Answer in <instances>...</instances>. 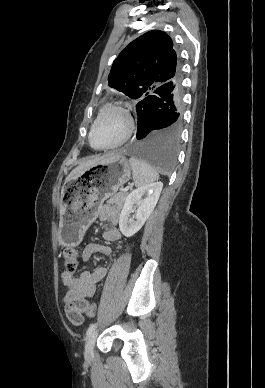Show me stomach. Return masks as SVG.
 Returning a JSON list of instances; mask_svg holds the SVG:
<instances>
[{"label":"stomach","mask_w":265,"mask_h":388,"mask_svg":"<svg viewBox=\"0 0 265 388\" xmlns=\"http://www.w3.org/2000/svg\"><path fill=\"white\" fill-rule=\"evenodd\" d=\"M131 176V165L122 154H110L68 180L60 199L59 240L64 246L78 245L96 219L103 202Z\"/></svg>","instance_id":"1"}]
</instances>
